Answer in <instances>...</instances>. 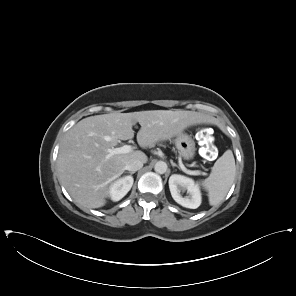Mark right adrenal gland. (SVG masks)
<instances>
[{
  "label": "right adrenal gland",
  "mask_w": 296,
  "mask_h": 296,
  "mask_svg": "<svg viewBox=\"0 0 296 296\" xmlns=\"http://www.w3.org/2000/svg\"><path fill=\"white\" fill-rule=\"evenodd\" d=\"M130 175H133L135 173V171H132V172H128Z\"/></svg>",
  "instance_id": "obj_1"
}]
</instances>
